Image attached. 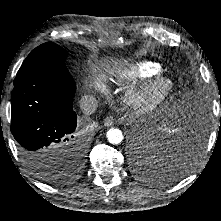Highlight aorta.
<instances>
[{"label":"aorta","mask_w":221,"mask_h":221,"mask_svg":"<svg viewBox=\"0 0 221 221\" xmlns=\"http://www.w3.org/2000/svg\"><path fill=\"white\" fill-rule=\"evenodd\" d=\"M107 139L109 143L118 145L123 140V134L120 129L117 128H111L107 131Z\"/></svg>","instance_id":"aorta-1"}]
</instances>
